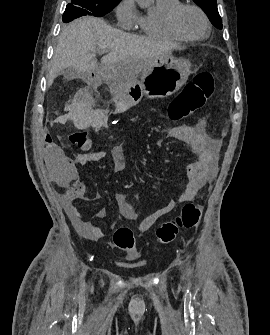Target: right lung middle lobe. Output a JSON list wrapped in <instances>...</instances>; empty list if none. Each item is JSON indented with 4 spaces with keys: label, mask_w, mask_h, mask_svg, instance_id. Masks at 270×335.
I'll list each match as a JSON object with an SVG mask.
<instances>
[{
    "label": "right lung middle lobe",
    "mask_w": 270,
    "mask_h": 335,
    "mask_svg": "<svg viewBox=\"0 0 270 335\" xmlns=\"http://www.w3.org/2000/svg\"><path fill=\"white\" fill-rule=\"evenodd\" d=\"M119 2L120 0H71L63 14V22L68 23L81 16L102 17Z\"/></svg>",
    "instance_id": "dd1d6c3e"
}]
</instances>
